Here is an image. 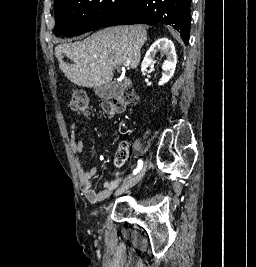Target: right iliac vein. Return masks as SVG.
<instances>
[{"instance_id":"1","label":"right iliac vein","mask_w":256,"mask_h":267,"mask_svg":"<svg viewBox=\"0 0 256 267\" xmlns=\"http://www.w3.org/2000/svg\"><path fill=\"white\" fill-rule=\"evenodd\" d=\"M147 166H144L134 177L122 183V185L117 189L116 196L126 192L131 187L136 185L145 175Z\"/></svg>"}]
</instances>
